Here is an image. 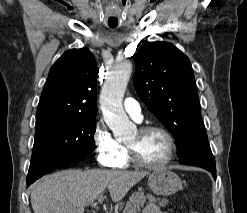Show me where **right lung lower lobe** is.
<instances>
[{"instance_id":"1","label":"right lung lower lobe","mask_w":247,"mask_h":213,"mask_svg":"<svg viewBox=\"0 0 247 213\" xmlns=\"http://www.w3.org/2000/svg\"><path fill=\"white\" fill-rule=\"evenodd\" d=\"M72 163H75V162H66V161H64V162H55V163H52V164L48 165L46 171L43 174L39 175V176H29L28 175L27 176V186L32 184L35 180H37L38 178H40L44 174L51 172L55 168L64 167V166H67V165L72 164Z\"/></svg>"}]
</instances>
